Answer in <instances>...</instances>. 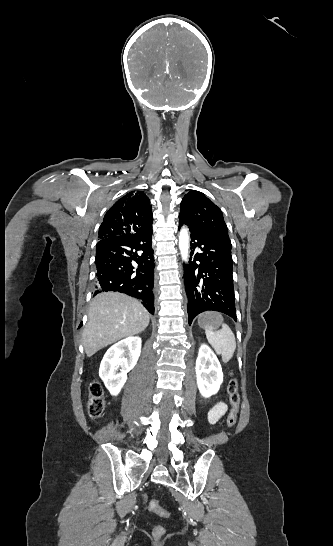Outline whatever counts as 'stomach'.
<instances>
[{"instance_id": "obj_1", "label": "stomach", "mask_w": 333, "mask_h": 546, "mask_svg": "<svg viewBox=\"0 0 333 546\" xmlns=\"http://www.w3.org/2000/svg\"><path fill=\"white\" fill-rule=\"evenodd\" d=\"M198 324L204 329L207 325H211L214 330H217L222 325L216 313H204L200 315Z\"/></svg>"}]
</instances>
